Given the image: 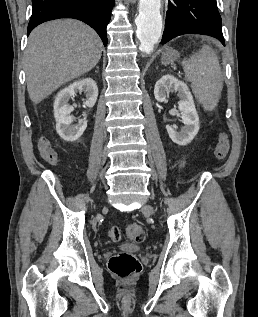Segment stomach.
I'll use <instances>...</instances> for the list:
<instances>
[{
    "instance_id": "0dacf381",
    "label": "stomach",
    "mask_w": 258,
    "mask_h": 317,
    "mask_svg": "<svg viewBox=\"0 0 258 317\" xmlns=\"http://www.w3.org/2000/svg\"><path fill=\"white\" fill-rule=\"evenodd\" d=\"M179 52L177 50H172V48H166L165 52H162V62L163 64H169V62H172V60H175L177 58Z\"/></svg>"
}]
</instances>
